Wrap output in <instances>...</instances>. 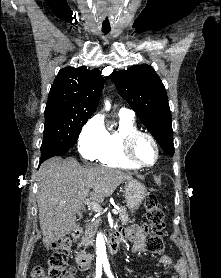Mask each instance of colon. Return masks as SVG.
<instances>
[{
    "label": "colon",
    "mask_w": 221,
    "mask_h": 278,
    "mask_svg": "<svg viewBox=\"0 0 221 278\" xmlns=\"http://www.w3.org/2000/svg\"><path fill=\"white\" fill-rule=\"evenodd\" d=\"M146 224L152 232L147 240L146 248L151 254L160 255L165 251L163 230L166 226L165 215L157 198L148 196L144 202ZM72 242L69 238H61L51 245L52 254L49 258V268L45 271L36 267L32 271V278H64L67 270V258Z\"/></svg>",
    "instance_id": "colon-1"
}]
</instances>
